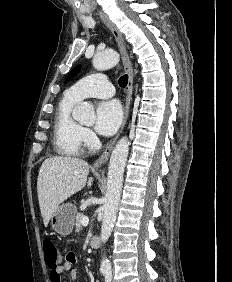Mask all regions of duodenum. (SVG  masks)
<instances>
[{
	"label": "duodenum",
	"instance_id": "1",
	"mask_svg": "<svg viewBox=\"0 0 232 282\" xmlns=\"http://www.w3.org/2000/svg\"><path fill=\"white\" fill-rule=\"evenodd\" d=\"M101 245L100 239L97 236H93L90 240V247L92 249H99Z\"/></svg>",
	"mask_w": 232,
	"mask_h": 282
}]
</instances>
